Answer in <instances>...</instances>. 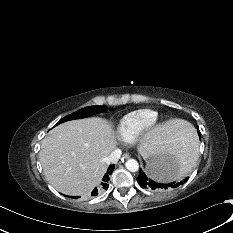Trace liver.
Masks as SVG:
<instances>
[{"label":"liver","mask_w":233,"mask_h":233,"mask_svg":"<svg viewBox=\"0 0 233 233\" xmlns=\"http://www.w3.org/2000/svg\"><path fill=\"white\" fill-rule=\"evenodd\" d=\"M183 121L170 120L150 130L138 148L143 158L158 150L173 151ZM116 134L105 119L68 121L53 128L42 140L39 153L44 175L66 195H83L101 181L107 157L116 147Z\"/></svg>","instance_id":"liver-1"}]
</instances>
